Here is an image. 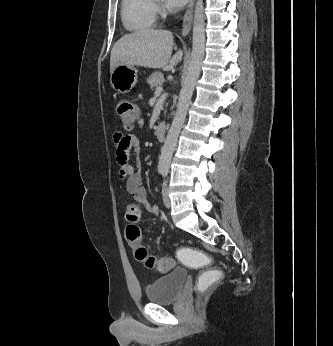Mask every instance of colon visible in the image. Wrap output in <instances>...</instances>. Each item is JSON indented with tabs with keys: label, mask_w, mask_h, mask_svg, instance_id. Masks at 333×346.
<instances>
[{
	"label": "colon",
	"mask_w": 333,
	"mask_h": 346,
	"mask_svg": "<svg viewBox=\"0 0 333 346\" xmlns=\"http://www.w3.org/2000/svg\"><path fill=\"white\" fill-rule=\"evenodd\" d=\"M117 113L121 123L126 129H131L137 120V108L131 101L122 100L117 105ZM126 220L130 223L126 229V237L130 247L133 249L134 257L137 261L143 263L148 269H155L159 272H168L175 262L172 258L157 257L149 254L147 248L141 242V232L136 223L139 220V208L136 204H130L126 210ZM181 249L174 254V259L178 264H184L185 268H192V271H205L195 281L194 286L198 291L212 288V280H224L225 274L222 269H207L211 259L203 254L202 249ZM219 286L218 282L214 283Z\"/></svg>",
	"instance_id": "obj_1"
}]
</instances>
